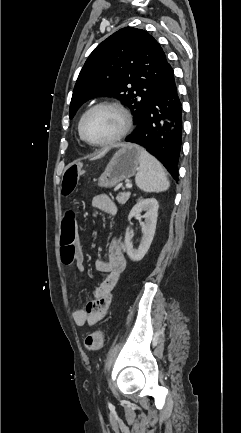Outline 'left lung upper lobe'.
Returning <instances> with one entry per match:
<instances>
[{"mask_svg": "<svg viewBox=\"0 0 241 433\" xmlns=\"http://www.w3.org/2000/svg\"><path fill=\"white\" fill-rule=\"evenodd\" d=\"M170 64L153 36L142 29H120L100 43L76 81L69 116L87 100L115 96L132 111L135 124L160 89Z\"/></svg>", "mask_w": 241, "mask_h": 433, "instance_id": "5c2ea615", "label": "left lung upper lobe"}]
</instances>
